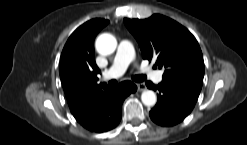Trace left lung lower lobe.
Listing matches in <instances>:
<instances>
[{
    "label": "left lung lower lobe",
    "instance_id": "1",
    "mask_svg": "<svg viewBox=\"0 0 247 145\" xmlns=\"http://www.w3.org/2000/svg\"><path fill=\"white\" fill-rule=\"evenodd\" d=\"M148 88L158 91V101L150 111L151 119L161 126H173L192 111L200 91L182 82L163 79L158 85L146 82Z\"/></svg>",
    "mask_w": 247,
    "mask_h": 145
}]
</instances>
